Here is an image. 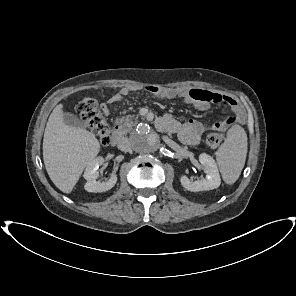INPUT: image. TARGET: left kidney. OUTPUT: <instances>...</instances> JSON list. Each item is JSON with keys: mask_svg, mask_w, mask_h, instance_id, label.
I'll use <instances>...</instances> for the list:
<instances>
[{"mask_svg": "<svg viewBox=\"0 0 296 296\" xmlns=\"http://www.w3.org/2000/svg\"><path fill=\"white\" fill-rule=\"evenodd\" d=\"M199 162L205 168L206 177L194 182L190 181L186 175L181 176V185L188 191L198 192L216 189L220 186L221 179L215 160L208 154L199 155Z\"/></svg>", "mask_w": 296, "mask_h": 296, "instance_id": "left-kidney-1", "label": "left kidney"}]
</instances>
